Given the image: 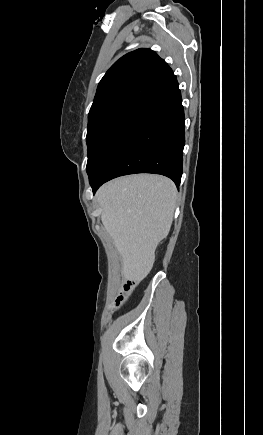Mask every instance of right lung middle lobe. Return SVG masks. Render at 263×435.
Listing matches in <instances>:
<instances>
[{
    "instance_id": "dd1d6c3e",
    "label": "right lung middle lobe",
    "mask_w": 263,
    "mask_h": 435,
    "mask_svg": "<svg viewBox=\"0 0 263 435\" xmlns=\"http://www.w3.org/2000/svg\"><path fill=\"white\" fill-rule=\"evenodd\" d=\"M143 106L142 103L121 101L97 107L88 116L87 129V173L92 179L113 146Z\"/></svg>"
}]
</instances>
